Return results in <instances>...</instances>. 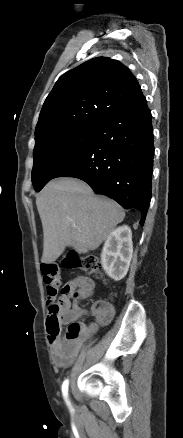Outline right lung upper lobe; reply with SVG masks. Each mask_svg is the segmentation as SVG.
I'll list each match as a JSON object with an SVG mask.
<instances>
[{
	"label": "right lung upper lobe",
	"mask_w": 183,
	"mask_h": 438,
	"mask_svg": "<svg viewBox=\"0 0 183 438\" xmlns=\"http://www.w3.org/2000/svg\"><path fill=\"white\" fill-rule=\"evenodd\" d=\"M144 99L126 66L110 58L91 59L58 79L41 109L35 139L54 130L97 126Z\"/></svg>",
	"instance_id": "right-lung-upper-lobe-1"
}]
</instances>
